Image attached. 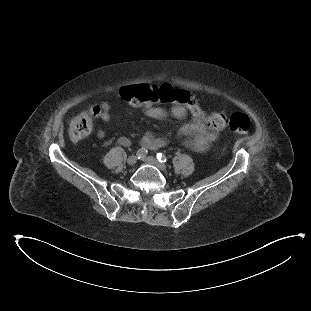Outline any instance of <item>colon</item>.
<instances>
[{"label": "colon", "mask_w": 311, "mask_h": 311, "mask_svg": "<svg viewBox=\"0 0 311 311\" xmlns=\"http://www.w3.org/2000/svg\"><path fill=\"white\" fill-rule=\"evenodd\" d=\"M122 95L126 99L139 101L132 103L133 106L140 102L182 104L189 113L204 122L207 127L214 130H221V127L224 126V115L206 116L198 101L185 90H178L173 87L160 88L152 84H147L140 88L126 86L122 90ZM100 112V107L90 106L71 121L69 136L73 142L81 141L92 132L93 119ZM230 114L233 117L231 130H235L238 133L246 132L250 126L248 116L242 112H232Z\"/></svg>", "instance_id": "colon-1"}]
</instances>
